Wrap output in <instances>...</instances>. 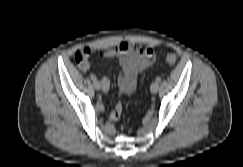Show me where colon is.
<instances>
[{"label": "colon", "instance_id": "1", "mask_svg": "<svg viewBox=\"0 0 243 167\" xmlns=\"http://www.w3.org/2000/svg\"><path fill=\"white\" fill-rule=\"evenodd\" d=\"M90 51H91L90 49H79V50H77L76 53H75L76 61L78 63L85 61L89 57ZM176 60H177V58L174 54H172V53L167 54L166 62L168 64L173 65V64L176 63Z\"/></svg>", "mask_w": 243, "mask_h": 167}]
</instances>
